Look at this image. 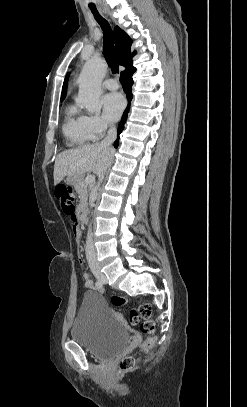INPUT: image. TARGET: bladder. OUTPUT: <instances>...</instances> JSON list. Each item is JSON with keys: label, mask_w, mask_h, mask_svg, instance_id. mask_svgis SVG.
<instances>
[{"label": "bladder", "mask_w": 247, "mask_h": 407, "mask_svg": "<svg viewBox=\"0 0 247 407\" xmlns=\"http://www.w3.org/2000/svg\"><path fill=\"white\" fill-rule=\"evenodd\" d=\"M72 339L90 353L111 357L123 350L129 332L100 293L86 292L71 330Z\"/></svg>", "instance_id": "1"}]
</instances>
